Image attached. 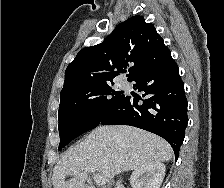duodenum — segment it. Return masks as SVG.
<instances>
[{
  "label": "duodenum",
  "instance_id": "1",
  "mask_svg": "<svg viewBox=\"0 0 224 188\" xmlns=\"http://www.w3.org/2000/svg\"><path fill=\"white\" fill-rule=\"evenodd\" d=\"M84 188H95V187L92 185H86Z\"/></svg>",
  "mask_w": 224,
  "mask_h": 188
}]
</instances>
